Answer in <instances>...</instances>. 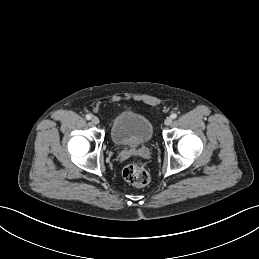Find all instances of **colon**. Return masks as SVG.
<instances>
[{
	"mask_svg": "<svg viewBox=\"0 0 259 259\" xmlns=\"http://www.w3.org/2000/svg\"><path fill=\"white\" fill-rule=\"evenodd\" d=\"M122 175L126 182L137 187L145 186L149 182L148 172L137 163L128 164Z\"/></svg>",
	"mask_w": 259,
	"mask_h": 259,
	"instance_id": "colon-1",
	"label": "colon"
}]
</instances>
